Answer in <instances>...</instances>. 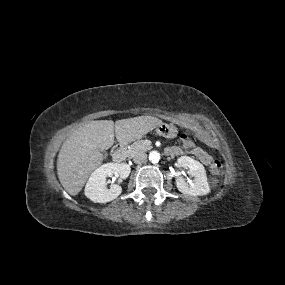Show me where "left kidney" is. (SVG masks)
Returning a JSON list of instances; mask_svg holds the SVG:
<instances>
[{"label": "left kidney", "instance_id": "1", "mask_svg": "<svg viewBox=\"0 0 285 285\" xmlns=\"http://www.w3.org/2000/svg\"><path fill=\"white\" fill-rule=\"evenodd\" d=\"M177 162L179 167L189 169L193 177V180L187 183L180 173L176 174V185L180 192L191 196L206 195L210 192L206 171L200 162L188 156H181Z\"/></svg>", "mask_w": 285, "mask_h": 285}]
</instances>
